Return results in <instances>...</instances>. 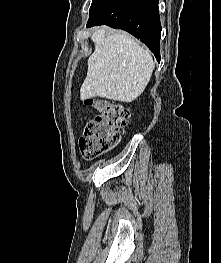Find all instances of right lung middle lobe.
<instances>
[{
    "label": "right lung middle lobe",
    "instance_id": "obj_1",
    "mask_svg": "<svg viewBox=\"0 0 221 263\" xmlns=\"http://www.w3.org/2000/svg\"><path fill=\"white\" fill-rule=\"evenodd\" d=\"M111 0H93L90 10L89 19L97 15Z\"/></svg>",
    "mask_w": 221,
    "mask_h": 263
}]
</instances>
